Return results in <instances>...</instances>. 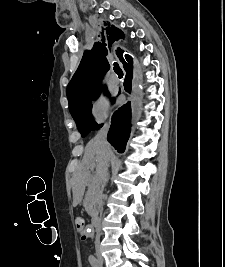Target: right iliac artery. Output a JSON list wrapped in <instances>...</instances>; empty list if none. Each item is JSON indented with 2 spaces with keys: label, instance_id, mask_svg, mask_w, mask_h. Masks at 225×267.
I'll list each match as a JSON object with an SVG mask.
<instances>
[{
  "label": "right iliac artery",
  "instance_id": "1",
  "mask_svg": "<svg viewBox=\"0 0 225 267\" xmlns=\"http://www.w3.org/2000/svg\"><path fill=\"white\" fill-rule=\"evenodd\" d=\"M89 262H90L92 267H101V265L99 264L98 260L93 255L89 256Z\"/></svg>",
  "mask_w": 225,
  "mask_h": 267
}]
</instances>
